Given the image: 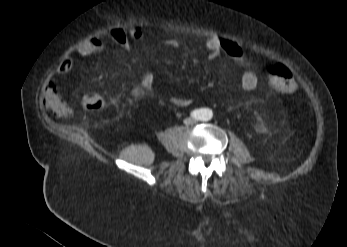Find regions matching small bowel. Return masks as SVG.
Returning a JSON list of instances; mask_svg holds the SVG:
<instances>
[{"label":"small bowel","mask_w":347,"mask_h":247,"mask_svg":"<svg viewBox=\"0 0 347 247\" xmlns=\"http://www.w3.org/2000/svg\"><path fill=\"white\" fill-rule=\"evenodd\" d=\"M109 39L127 50L133 43H140L144 40V30L140 26H132L127 31L123 28H114L108 35ZM163 44L170 48H177L180 45L178 39L170 38L163 41ZM205 47L211 60H216L222 55L228 56L236 65L247 66L249 59L243 52L237 42L222 38L210 37L205 41ZM106 49L104 37H93L92 39L79 44L76 52L83 57L101 53ZM72 63L70 60L64 61L59 69L58 74L65 75L70 72ZM157 80L153 73H146L139 86L133 87L138 92H154ZM258 85L257 75L252 70L245 71L240 77V87L242 90L249 92ZM45 103L48 110L56 117L67 118L71 115V109L60 99L55 86L49 85L45 91ZM171 103L176 107H187L192 103L189 97H173Z\"/></svg>","instance_id":"small-bowel-1"}]
</instances>
